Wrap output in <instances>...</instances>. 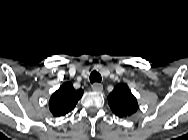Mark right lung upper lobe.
Returning <instances> with one entry per match:
<instances>
[{
    "label": "right lung upper lobe",
    "instance_id": "cb5924a9",
    "mask_svg": "<svg viewBox=\"0 0 188 140\" xmlns=\"http://www.w3.org/2000/svg\"><path fill=\"white\" fill-rule=\"evenodd\" d=\"M83 90H75L70 82L63 83L49 100V109L54 116H64L74 109Z\"/></svg>",
    "mask_w": 188,
    "mask_h": 140
}]
</instances>
